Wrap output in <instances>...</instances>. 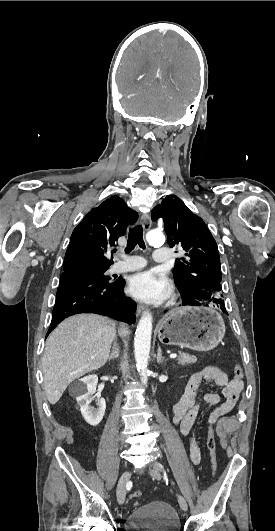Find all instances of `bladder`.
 Instances as JSON below:
<instances>
[{"mask_svg": "<svg viewBox=\"0 0 275 531\" xmlns=\"http://www.w3.org/2000/svg\"><path fill=\"white\" fill-rule=\"evenodd\" d=\"M133 531H181V523L171 504L154 501L135 509L127 521Z\"/></svg>", "mask_w": 275, "mask_h": 531, "instance_id": "bladder-1", "label": "bladder"}]
</instances>
